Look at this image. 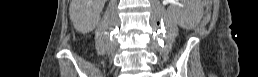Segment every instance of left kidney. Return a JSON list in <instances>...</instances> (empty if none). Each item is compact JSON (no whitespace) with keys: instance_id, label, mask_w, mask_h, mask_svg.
I'll use <instances>...</instances> for the list:
<instances>
[{"instance_id":"5707ae66","label":"left kidney","mask_w":258,"mask_h":77,"mask_svg":"<svg viewBox=\"0 0 258 77\" xmlns=\"http://www.w3.org/2000/svg\"><path fill=\"white\" fill-rule=\"evenodd\" d=\"M170 2L176 3L178 0H169ZM189 2V1H187ZM176 21L183 27H189L194 24V14L191 8L184 10L176 9L175 14Z\"/></svg>"}]
</instances>
